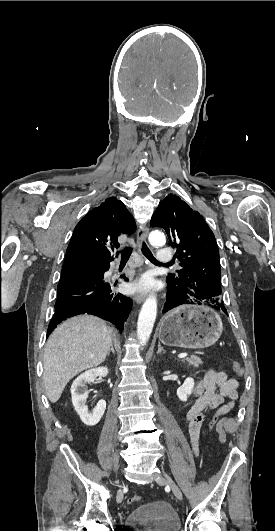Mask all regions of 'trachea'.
<instances>
[{
	"label": "trachea",
	"mask_w": 275,
	"mask_h": 531,
	"mask_svg": "<svg viewBox=\"0 0 275 531\" xmlns=\"http://www.w3.org/2000/svg\"><path fill=\"white\" fill-rule=\"evenodd\" d=\"M131 252H132V248H125L122 252L121 260L127 261L131 255ZM142 253L144 254V256H146V258H148L151 261H154L155 263H158L159 265L166 266V267L172 265V263H160V261H157V259L153 256L150 249L146 246L145 243H143V246H142Z\"/></svg>",
	"instance_id": "1"
}]
</instances>
